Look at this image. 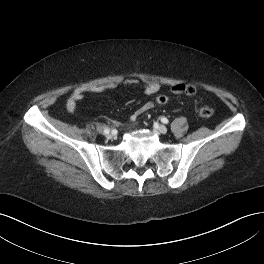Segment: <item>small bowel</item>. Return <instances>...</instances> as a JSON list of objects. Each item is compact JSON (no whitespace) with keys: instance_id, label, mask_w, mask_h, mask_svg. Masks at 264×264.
Instances as JSON below:
<instances>
[{"instance_id":"c3829d8e","label":"small bowel","mask_w":264,"mask_h":264,"mask_svg":"<svg viewBox=\"0 0 264 264\" xmlns=\"http://www.w3.org/2000/svg\"><path fill=\"white\" fill-rule=\"evenodd\" d=\"M137 80L136 79H128L124 82L125 85H135L137 84ZM118 86V83L116 82H111V83H107V84H103V85H99V86H82V87H78L76 88L72 94L70 95L67 104H66V109L68 113H73L77 106L78 103L80 101L83 100L84 95L86 93L92 92V93H100V92H104L107 90H111L114 89ZM161 86L159 83L157 82H150L145 84L143 91L144 94L146 95H154L157 92H159ZM184 88L185 85L184 84H174L171 86V92L174 94H182L184 93ZM154 107V103L153 102H147L145 103L143 106H141L136 112L135 114L132 116L131 120H134L137 116L149 111L150 109H152Z\"/></svg>"}]
</instances>
